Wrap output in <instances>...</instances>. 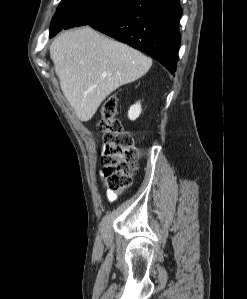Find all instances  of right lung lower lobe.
I'll return each mask as SVG.
<instances>
[{"mask_svg": "<svg viewBox=\"0 0 247 299\" xmlns=\"http://www.w3.org/2000/svg\"><path fill=\"white\" fill-rule=\"evenodd\" d=\"M181 14L179 0H132L116 14L90 26L150 55L173 73L181 41Z\"/></svg>", "mask_w": 247, "mask_h": 299, "instance_id": "98d812e1", "label": "right lung lower lobe"}]
</instances>
